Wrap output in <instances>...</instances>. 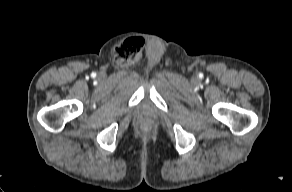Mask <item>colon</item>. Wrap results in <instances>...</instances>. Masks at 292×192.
<instances>
[{"label": "colon", "mask_w": 292, "mask_h": 192, "mask_svg": "<svg viewBox=\"0 0 292 192\" xmlns=\"http://www.w3.org/2000/svg\"><path fill=\"white\" fill-rule=\"evenodd\" d=\"M143 45L141 38L133 39L130 42H125L116 50V55L118 57H128L136 55Z\"/></svg>", "instance_id": "1"}]
</instances>
